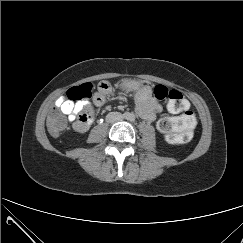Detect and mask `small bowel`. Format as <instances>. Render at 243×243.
Segmentation results:
<instances>
[{
    "label": "small bowel",
    "mask_w": 243,
    "mask_h": 243,
    "mask_svg": "<svg viewBox=\"0 0 243 243\" xmlns=\"http://www.w3.org/2000/svg\"><path fill=\"white\" fill-rule=\"evenodd\" d=\"M107 93L97 91L94 96V104L96 106L103 105ZM135 104L137 114L148 122L154 121L156 116L162 112V106L157 99L152 96L151 88L148 86H143L138 90L135 97ZM55 105L65 116H67L70 122L74 123L76 122V117L79 113L89 111L92 114L93 111V105L90 102L74 103L64 97L57 99ZM88 125L80 131H85Z\"/></svg>",
    "instance_id": "1"
}]
</instances>
